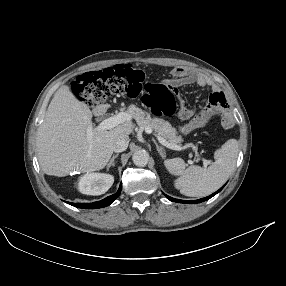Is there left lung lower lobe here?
<instances>
[{"label": "left lung lower lobe", "instance_id": "left-lung-lower-lobe-1", "mask_svg": "<svg viewBox=\"0 0 286 286\" xmlns=\"http://www.w3.org/2000/svg\"><path fill=\"white\" fill-rule=\"evenodd\" d=\"M223 187H224V186H223ZM223 187H221L218 191H216L215 193L211 194V195L208 196V197H205V198H202V199H199V200H193V201L179 200V199H175V198L169 197V196H167V195H165V196H166L169 200H171V201H173V202L195 204V203H200V202H203V201H206V200L210 199L211 197H213L214 195H216L219 191H221Z\"/></svg>", "mask_w": 286, "mask_h": 286}]
</instances>
